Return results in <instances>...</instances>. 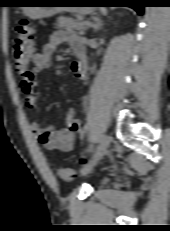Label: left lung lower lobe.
I'll return each instance as SVG.
<instances>
[{"mask_svg": "<svg viewBox=\"0 0 170 231\" xmlns=\"http://www.w3.org/2000/svg\"><path fill=\"white\" fill-rule=\"evenodd\" d=\"M102 6H112L113 4H119L117 6L131 7L137 11L138 14H143V8L146 6V0H102Z\"/></svg>", "mask_w": 170, "mask_h": 231, "instance_id": "obj_1", "label": "left lung lower lobe"}]
</instances>
